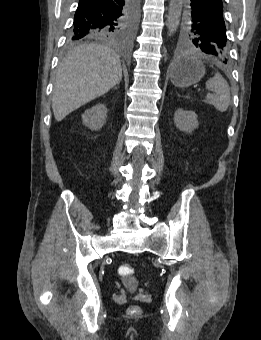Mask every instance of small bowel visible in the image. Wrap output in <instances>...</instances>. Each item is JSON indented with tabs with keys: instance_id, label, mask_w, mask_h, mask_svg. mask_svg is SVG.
<instances>
[{
	"instance_id": "c3829d8e",
	"label": "small bowel",
	"mask_w": 261,
	"mask_h": 340,
	"mask_svg": "<svg viewBox=\"0 0 261 340\" xmlns=\"http://www.w3.org/2000/svg\"><path fill=\"white\" fill-rule=\"evenodd\" d=\"M128 291H129V293H133L134 292V287L133 286H129L128 287Z\"/></svg>"
}]
</instances>
